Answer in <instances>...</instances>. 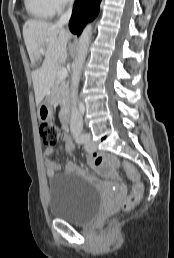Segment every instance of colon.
<instances>
[{
	"instance_id": "colon-1",
	"label": "colon",
	"mask_w": 174,
	"mask_h": 258,
	"mask_svg": "<svg viewBox=\"0 0 174 258\" xmlns=\"http://www.w3.org/2000/svg\"><path fill=\"white\" fill-rule=\"evenodd\" d=\"M61 133V128L56 123L44 122L40 126V135L43 139L44 144H46L47 146H55L61 136ZM124 168L129 178L133 182V190L129 197L123 202L122 208L124 210H130L140 201L143 193V185L133 165L126 162L124 163Z\"/></svg>"
}]
</instances>
